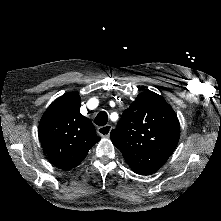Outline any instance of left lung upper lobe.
Here are the masks:
<instances>
[{
    "instance_id": "obj_1",
    "label": "left lung upper lobe",
    "mask_w": 221,
    "mask_h": 221,
    "mask_svg": "<svg viewBox=\"0 0 221 221\" xmlns=\"http://www.w3.org/2000/svg\"><path fill=\"white\" fill-rule=\"evenodd\" d=\"M179 136L174 110L162 96L149 90L137 96L123 112L117 129L111 131L113 144L140 175L157 171L175 150Z\"/></svg>"
}]
</instances>
